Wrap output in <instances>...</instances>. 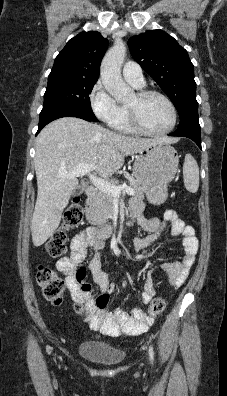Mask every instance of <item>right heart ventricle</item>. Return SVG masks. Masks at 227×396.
Returning <instances> with one entry per match:
<instances>
[{"label": "right heart ventricle", "mask_w": 227, "mask_h": 396, "mask_svg": "<svg viewBox=\"0 0 227 396\" xmlns=\"http://www.w3.org/2000/svg\"><path fill=\"white\" fill-rule=\"evenodd\" d=\"M111 127L124 134H134L136 131L131 126L126 106H120L119 114L115 120L110 124Z\"/></svg>", "instance_id": "right-heart-ventricle-1"}]
</instances>
